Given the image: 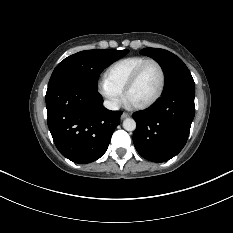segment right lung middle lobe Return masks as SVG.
Segmentation results:
<instances>
[{"mask_svg": "<svg viewBox=\"0 0 233 233\" xmlns=\"http://www.w3.org/2000/svg\"><path fill=\"white\" fill-rule=\"evenodd\" d=\"M128 52L127 49H95L75 53L56 66L48 86L60 82H70L97 90V81L103 69Z\"/></svg>", "mask_w": 233, "mask_h": 233, "instance_id": "obj_1", "label": "right lung middle lobe"}]
</instances>
